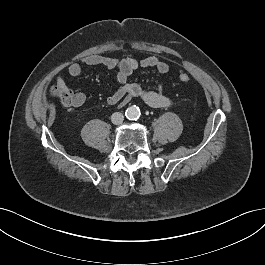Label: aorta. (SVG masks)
Masks as SVG:
<instances>
[{"mask_svg": "<svg viewBox=\"0 0 265 265\" xmlns=\"http://www.w3.org/2000/svg\"><path fill=\"white\" fill-rule=\"evenodd\" d=\"M140 116V109L137 106H130L126 110V117L128 119H137Z\"/></svg>", "mask_w": 265, "mask_h": 265, "instance_id": "obj_1", "label": "aorta"}]
</instances>
